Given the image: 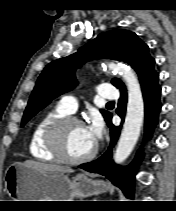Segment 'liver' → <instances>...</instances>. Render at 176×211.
I'll list each match as a JSON object with an SVG mask.
<instances>
[{
  "instance_id": "obj_1",
  "label": "liver",
  "mask_w": 176,
  "mask_h": 211,
  "mask_svg": "<svg viewBox=\"0 0 176 211\" xmlns=\"http://www.w3.org/2000/svg\"><path fill=\"white\" fill-rule=\"evenodd\" d=\"M25 166L43 172H58V173H73V170L70 167L59 166L55 164H47L43 162H38L34 160H26L24 163Z\"/></svg>"
}]
</instances>
